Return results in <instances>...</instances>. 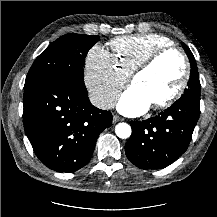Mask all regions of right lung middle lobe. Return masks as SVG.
<instances>
[{
  "label": "right lung middle lobe",
  "mask_w": 217,
  "mask_h": 217,
  "mask_svg": "<svg viewBox=\"0 0 217 217\" xmlns=\"http://www.w3.org/2000/svg\"><path fill=\"white\" fill-rule=\"evenodd\" d=\"M98 40L97 35L66 34L61 36L34 61L24 86L53 76H61L78 86H85L84 60L89 49Z\"/></svg>",
  "instance_id": "dd1d6c3e"
}]
</instances>
